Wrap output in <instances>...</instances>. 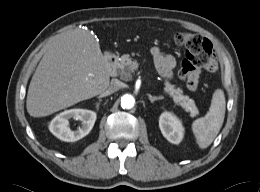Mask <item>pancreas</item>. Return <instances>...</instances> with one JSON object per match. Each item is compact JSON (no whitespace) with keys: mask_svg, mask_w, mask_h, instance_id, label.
<instances>
[{"mask_svg":"<svg viewBox=\"0 0 260 192\" xmlns=\"http://www.w3.org/2000/svg\"><path fill=\"white\" fill-rule=\"evenodd\" d=\"M134 64H136V61L133 60L129 54H124L120 57L118 74L122 79H131ZM164 92L173 98L174 103L180 105L186 112H189L191 117H195L199 114L194 100L187 95H183L182 89L172 84L169 80L164 81Z\"/></svg>","mask_w":260,"mask_h":192,"instance_id":"pancreas-1","label":"pancreas"}]
</instances>
